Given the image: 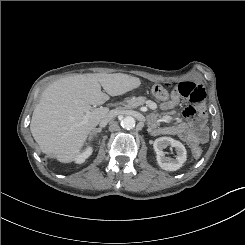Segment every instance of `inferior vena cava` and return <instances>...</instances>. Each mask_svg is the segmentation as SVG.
<instances>
[{"instance_id": "obj_1", "label": "inferior vena cava", "mask_w": 245, "mask_h": 245, "mask_svg": "<svg viewBox=\"0 0 245 245\" xmlns=\"http://www.w3.org/2000/svg\"><path fill=\"white\" fill-rule=\"evenodd\" d=\"M114 114L112 112H109L101 121H100V127H104L107 125V123L114 118Z\"/></svg>"}]
</instances>
